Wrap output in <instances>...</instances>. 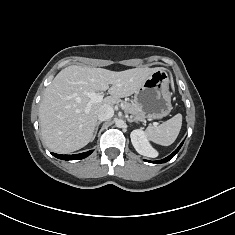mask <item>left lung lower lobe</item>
Masks as SVG:
<instances>
[{"label": "left lung lower lobe", "instance_id": "left-lung-lower-lobe-1", "mask_svg": "<svg viewBox=\"0 0 235 235\" xmlns=\"http://www.w3.org/2000/svg\"><path fill=\"white\" fill-rule=\"evenodd\" d=\"M182 144H183V142H182V143L179 145V147H178L171 155H169L168 157H166V158H164V159H162V160H158V161H149V162H151V163H165V162L169 161L175 154L178 153V151H179V149L181 148Z\"/></svg>", "mask_w": 235, "mask_h": 235}]
</instances>
